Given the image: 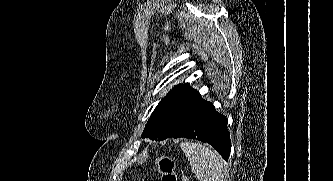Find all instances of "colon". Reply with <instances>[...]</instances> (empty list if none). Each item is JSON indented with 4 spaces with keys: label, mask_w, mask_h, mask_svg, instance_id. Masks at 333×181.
<instances>
[{
    "label": "colon",
    "mask_w": 333,
    "mask_h": 181,
    "mask_svg": "<svg viewBox=\"0 0 333 181\" xmlns=\"http://www.w3.org/2000/svg\"><path fill=\"white\" fill-rule=\"evenodd\" d=\"M155 164L160 174V181H178L173 158L170 156H159L156 158Z\"/></svg>",
    "instance_id": "5ec220e1"
}]
</instances>
